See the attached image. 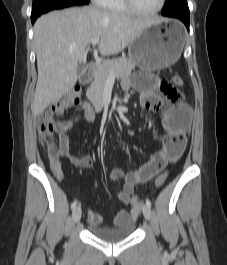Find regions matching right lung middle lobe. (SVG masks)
<instances>
[{
  "instance_id": "dd1d6c3e",
  "label": "right lung middle lobe",
  "mask_w": 227,
  "mask_h": 265,
  "mask_svg": "<svg viewBox=\"0 0 227 265\" xmlns=\"http://www.w3.org/2000/svg\"><path fill=\"white\" fill-rule=\"evenodd\" d=\"M89 0H33L31 17L69 4H88Z\"/></svg>"
}]
</instances>
